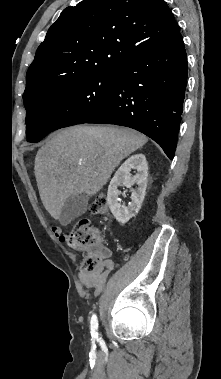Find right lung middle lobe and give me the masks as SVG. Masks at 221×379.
<instances>
[{"mask_svg": "<svg viewBox=\"0 0 221 379\" xmlns=\"http://www.w3.org/2000/svg\"><path fill=\"white\" fill-rule=\"evenodd\" d=\"M118 69L89 74L54 86L24 103L26 135L38 142L48 133L87 120L111 98Z\"/></svg>", "mask_w": 221, "mask_h": 379, "instance_id": "dd1d6c3e", "label": "right lung middle lobe"}]
</instances>
